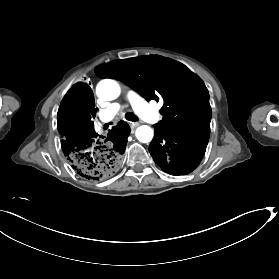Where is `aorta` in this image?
Returning <instances> with one entry per match:
<instances>
[{"label":"aorta","instance_id":"1","mask_svg":"<svg viewBox=\"0 0 279 279\" xmlns=\"http://www.w3.org/2000/svg\"><path fill=\"white\" fill-rule=\"evenodd\" d=\"M120 92L119 84L112 79H103L96 87V94L102 100H114L120 95ZM135 134L137 139L142 143L150 142L154 136L152 128L147 125L139 126Z\"/></svg>","mask_w":279,"mask_h":279}]
</instances>
